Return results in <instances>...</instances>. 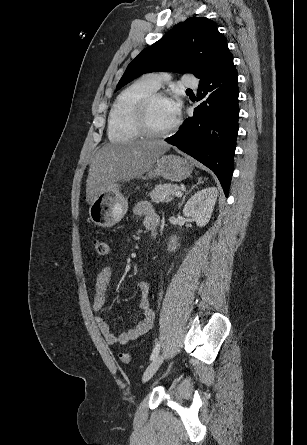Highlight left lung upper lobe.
Masks as SVG:
<instances>
[{
  "mask_svg": "<svg viewBox=\"0 0 307 445\" xmlns=\"http://www.w3.org/2000/svg\"><path fill=\"white\" fill-rule=\"evenodd\" d=\"M232 56L217 26L205 17H190L145 48L127 67L116 90L143 73L177 71L201 79Z\"/></svg>",
  "mask_w": 307,
  "mask_h": 445,
  "instance_id": "left-lung-upper-lobe-1",
  "label": "left lung upper lobe"
}]
</instances>
